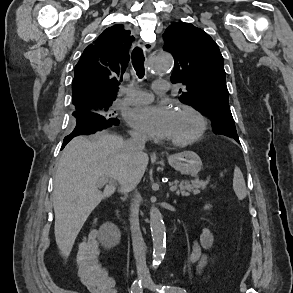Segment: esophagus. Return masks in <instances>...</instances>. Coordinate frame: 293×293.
Listing matches in <instances>:
<instances>
[{
    "label": "esophagus",
    "mask_w": 293,
    "mask_h": 293,
    "mask_svg": "<svg viewBox=\"0 0 293 293\" xmlns=\"http://www.w3.org/2000/svg\"><path fill=\"white\" fill-rule=\"evenodd\" d=\"M138 45L146 52H150L153 47H154V43L153 42H143V41H139Z\"/></svg>",
    "instance_id": "34e87169"
}]
</instances>
